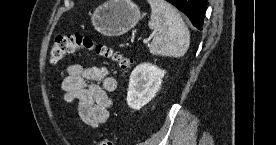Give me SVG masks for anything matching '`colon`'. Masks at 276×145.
I'll return each mask as SVG.
<instances>
[{"label": "colon", "mask_w": 276, "mask_h": 145, "mask_svg": "<svg viewBox=\"0 0 276 145\" xmlns=\"http://www.w3.org/2000/svg\"><path fill=\"white\" fill-rule=\"evenodd\" d=\"M80 49L94 52L96 55L109 59L117 64L122 71H129L133 61L106 45L95 43L90 37L81 33L58 34L50 50V61L58 63L65 56L75 53ZM99 145H114L113 140L104 138L98 142Z\"/></svg>", "instance_id": "5ec220e1"}]
</instances>
